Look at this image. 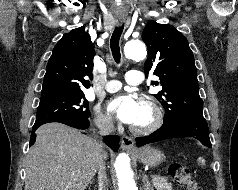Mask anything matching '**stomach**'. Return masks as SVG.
I'll list each match as a JSON object with an SVG mask.
<instances>
[{
    "label": "stomach",
    "instance_id": "obj_1",
    "mask_svg": "<svg viewBox=\"0 0 238 190\" xmlns=\"http://www.w3.org/2000/svg\"><path fill=\"white\" fill-rule=\"evenodd\" d=\"M136 157L141 163L150 167L160 165L165 158L160 150L149 146L139 149L136 152Z\"/></svg>",
    "mask_w": 238,
    "mask_h": 190
}]
</instances>
